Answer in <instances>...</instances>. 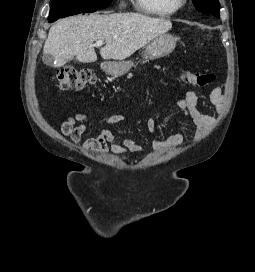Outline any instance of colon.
<instances>
[{"label":"colon","mask_w":255,"mask_h":272,"mask_svg":"<svg viewBox=\"0 0 255 272\" xmlns=\"http://www.w3.org/2000/svg\"><path fill=\"white\" fill-rule=\"evenodd\" d=\"M215 80L212 73L186 72L182 81L193 86H206ZM59 91L82 90L96 81V76L88 69L64 68L55 75Z\"/></svg>","instance_id":"1"}]
</instances>
